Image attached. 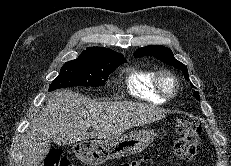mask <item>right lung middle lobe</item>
Returning a JSON list of instances; mask_svg holds the SVG:
<instances>
[{"mask_svg":"<svg viewBox=\"0 0 231 166\" xmlns=\"http://www.w3.org/2000/svg\"><path fill=\"white\" fill-rule=\"evenodd\" d=\"M125 62L122 54L102 58L78 57L61 67L60 74L50 84L49 91L71 86H103L109 74Z\"/></svg>","mask_w":231,"mask_h":166,"instance_id":"obj_1","label":"right lung middle lobe"}]
</instances>
